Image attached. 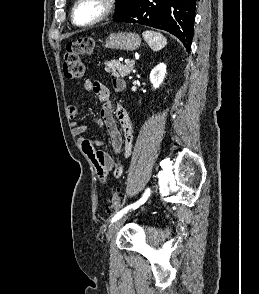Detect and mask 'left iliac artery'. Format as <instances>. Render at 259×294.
Segmentation results:
<instances>
[{"label":"left iliac artery","mask_w":259,"mask_h":294,"mask_svg":"<svg viewBox=\"0 0 259 294\" xmlns=\"http://www.w3.org/2000/svg\"><path fill=\"white\" fill-rule=\"evenodd\" d=\"M150 188H147L143 194V196L135 203L130 204L128 206H126L125 208H123L122 210H120L119 212H117L114 217L111 219V223L117 221L118 219H120L125 213H127L130 209H136L138 208L140 205L144 204L146 202V200L148 199V197L150 196Z\"/></svg>","instance_id":"obj_1"}]
</instances>
